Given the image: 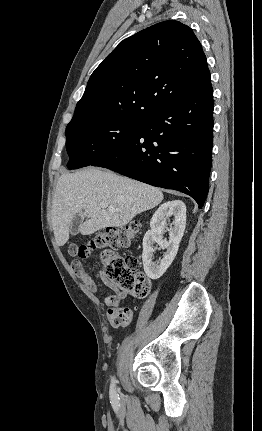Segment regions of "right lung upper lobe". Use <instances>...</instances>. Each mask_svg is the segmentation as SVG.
Instances as JSON below:
<instances>
[{
  "label": "right lung upper lobe",
  "mask_w": 262,
  "mask_h": 431,
  "mask_svg": "<svg viewBox=\"0 0 262 431\" xmlns=\"http://www.w3.org/2000/svg\"><path fill=\"white\" fill-rule=\"evenodd\" d=\"M210 84L206 56L192 29L164 21L123 40L95 69L68 126L143 119L196 96Z\"/></svg>",
  "instance_id": "cb5924a9"
}]
</instances>
